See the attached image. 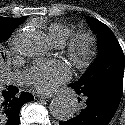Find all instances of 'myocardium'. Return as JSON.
<instances>
[{"instance_id":"1","label":"myocardium","mask_w":125,"mask_h":125,"mask_svg":"<svg viewBox=\"0 0 125 125\" xmlns=\"http://www.w3.org/2000/svg\"><path fill=\"white\" fill-rule=\"evenodd\" d=\"M97 51V39L90 32L74 34L66 45V55L78 69L87 68L96 57Z\"/></svg>"}]
</instances>
